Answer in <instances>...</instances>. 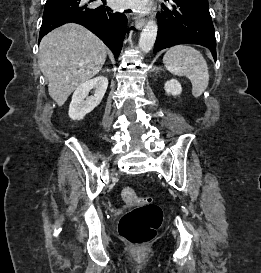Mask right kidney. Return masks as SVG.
Segmentation results:
<instances>
[{"mask_svg": "<svg viewBox=\"0 0 261 273\" xmlns=\"http://www.w3.org/2000/svg\"><path fill=\"white\" fill-rule=\"evenodd\" d=\"M108 87V79L98 76L82 83L73 93L69 106V117L72 120H81L102 101ZM95 89L93 96L88 97L90 90Z\"/></svg>", "mask_w": 261, "mask_h": 273, "instance_id": "ca27d5eb", "label": "right kidney"}]
</instances>
